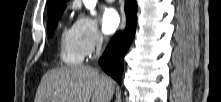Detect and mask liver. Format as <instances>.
Masks as SVG:
<instances>
[{
	"label": "liver",
	"instance_id": "1",
	"mask_svg": "<svg viewBox=\"0 0 221 102\" xmlns=\"http://www.w3.org/2000/svg\"><path fill=\"white\" fill-rule=\"evenodd\" d=\"M113 94L112 80L97 69L65 66L43 76L34 102H110Z\"/></svg>",
	"mask_w": 221,
	"mask_h": 102
}]
</instances>
